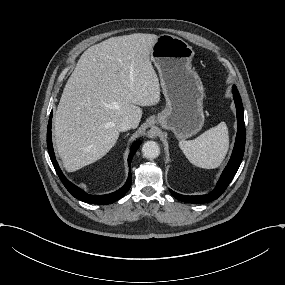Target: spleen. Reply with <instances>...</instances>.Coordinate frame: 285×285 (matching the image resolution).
<instances>
[{"label": "spleen", "instance_id": "obj_1", "mask_svg": "<svg viewBox=\"0 0 285 285\" xmlns=\"http://www.w3.org/2000/svg\"><path fill=\"white\" fill-rule=\"evenodd\" d=\"M179 147L191 164L205 169L217 168L229 149L227 125L221 122L194 140L180 141Z\"/></svg>", "mask_w": 285, "mask_h": 285}]
</instances>
